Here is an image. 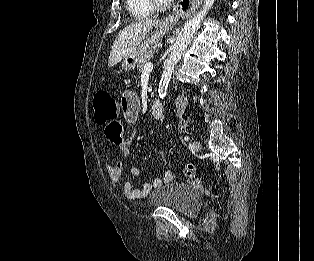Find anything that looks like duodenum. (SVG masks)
I'll return each instance as SVG.
<instances>
[{
	"instance_id": "duodenum-1",
	"label": "duodenum",
	"mask_w": 314,
	"mask_h": 261,
	"mask_svg": "<svg viewBox=\"0 0 314 261\" xmlns=\"http://www.w3.org/2000/svg\"><path fill=\"white\" fill-rule=\"evenodd\" d=\"M163 105L157 99H155L151 105V116L153 119L160 120L163 116Z\"/></svg>"
}]
</instances>
